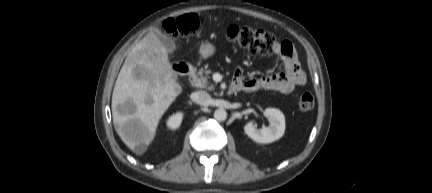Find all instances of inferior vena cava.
<instances>
[{"label":"inferior vena cava","instance_id":"obj_1","mask_svg":"<svg viewBox=\"0 0 432 193\" xmlns=\"http://www.w3.org/2000/svg\"><path fill=\"white\" fill-rule=\"evenodd\" d=\"M193 101L199 105L208 106L211 101V96L206 91H197L193 95Z\"/></svg>","mask_w":432,"mask_h":193}]
</instances>
